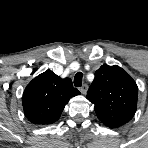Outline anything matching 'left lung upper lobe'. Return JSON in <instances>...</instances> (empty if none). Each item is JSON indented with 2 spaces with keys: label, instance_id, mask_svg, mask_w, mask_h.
<instances>
[{
  "label": "left lung upper lobe",
  "instance_id": "5c2ea615",
  "mask_svg": "<svg viewBox=\"0 0 148 148\" xmlns=\"http://www.w3.org/2000/svg\"><path fill=\"white\" fill-rule=\"evenodd\" d=\"M138 87L133 78L119 66L102 65L95 72V79L87 92V99L94 103L100 121L117 128L134 116Z\"/></svg>",
  "mask_w": 148,
  "mask_h": 148
}]
</instances>
